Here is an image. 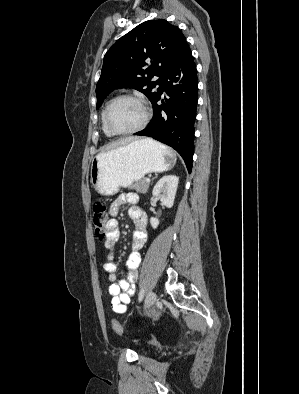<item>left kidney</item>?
I'll list each match as a JSON object with an SVG mask.
<instances>
[{
    "label": "left kidney",
    "instance_id": "obj_1",
    "mask_svg": "<svg viewBox=\"0 0 299 394\" xmlns=\"http://www.w3.org/2000/svg\"><path fill=\"white\" fill-rule=\"evenodd\" d=\"M178 183L179 177L176 175H166L156 183L152 194L154 197L159 198L164 206L171 208L174 204ZM150 224L156 229L159 225V220L155 217H151Z\"/></svg>",
    "mask_w": 299,
    "mask_h": 394
}]
</instances>
